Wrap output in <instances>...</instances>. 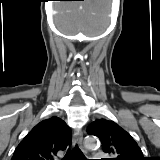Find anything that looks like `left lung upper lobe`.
I'll use <instances>...</instances> for the list:
<instances>
[{
	"mask_svg": "<svg viewBox=\"0 0 160 160\" xmlns=\"http://www.w3.org/2000/svg\"><path fill=\"white\" fill-rule=\"evenodd\" d=\"M87 132L100 139L105 153L114 156L106 160H146L131 135L113 121L97 119L89 125Z\"/></svg>",
	"mask_w": 160,
	"mask_h": 160,
	"instance_id": "obj_1",
	"label": "left lung upper lobe"
}]
</instances>
